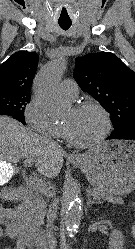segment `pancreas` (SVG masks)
<instances>
[{
  "label": "pancreas",
  "instance_id": "pancreas-1",
  "mask_svg": "<svg viewBox=\"0 0 135 249\" xmlns=\"http://www.w3.org/2000/svg\"><path fill=\"white\" fill-rule=\"evenodd\" d=\"M90 192L97 200L103 199L113 204H124L122 198L114 197L110 194H106L95 189H92ZM42 194L43 196L34 199L30 203L26 204L24 207L25 214L28 216L30 220H34L36 223L39 222L40 217L45 212V207H46L45 197L52 195L49 190Z\"/></svg>",
  "mask_w": 135,
  "mask_h": 249
}]
</instances>
